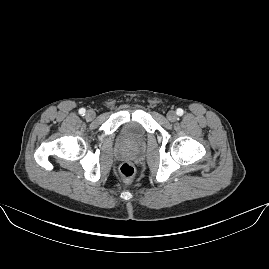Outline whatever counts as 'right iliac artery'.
Listing matches in <instances>:
<instances>
[{
	"label": "right iliac artery",
	"mask_w": 269,
	"mask_h": 269,
	"mask_svg": "<svg viewBox=\"0 0 269 269\" xmlns=\"http://www.w3.org/2000/svg\"><path fill=\"white\" fill-rule=\"evenodd\" d=\"M85 113H86V110H85L84 108H81V109L79 110V114H80V115L84 116Z\"/></svg>",
	"instance_id": "obj_1"
}]
</instances>
